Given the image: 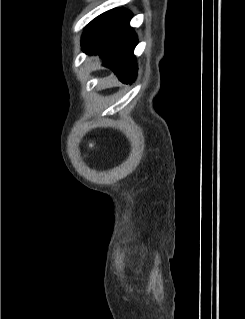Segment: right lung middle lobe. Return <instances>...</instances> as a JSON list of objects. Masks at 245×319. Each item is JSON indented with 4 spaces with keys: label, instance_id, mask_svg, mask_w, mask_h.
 I'll return each mask as SVG.
<instances>
[{
    "label": "right lung middle lobe",
    "instance_id": "dd1d6c3e",
    "mask_svg": "<svg viewBox=\"0 0 245 319\" xmlns=\"http://www.w3.org/2000/svg\"><path fill=\"white\" fill-rule=\"evenodd\" d=\"M117 10H111L108 12L103 13L102 15L98 16L97 18H95L89 25L87 28H91L95 25H97L98 23H100L101 21L105 20L106 18L110 17L112 14H114Z\"/></svg>",
    "mask_w": 245,
    "mask_h": 319
}]
</instances>
